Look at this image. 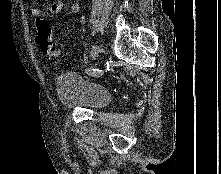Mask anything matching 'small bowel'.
<instances>
[{
	"label": "small bowel",
	"mask_w": 221,
	"mask_h": 174,
	"mask_svg": "<svg viewBox=\"0 0 221 174\" xmlns=\"http://www.w3.org/2000/svg\"><path fill=\"white\" fill-rule=\"evenodd\" d=\"M64 10V3H63V0H57L53 3H51L48 7V13L51 15V16H58L60 15ZM30 13L31 15L36 18L37 20L40 19V16H41V9L36 6V5H31L30 6Z\"/></svg>",
	"instance_id": "1"
}]
</instances>
